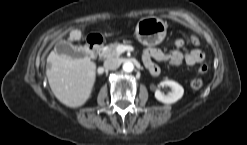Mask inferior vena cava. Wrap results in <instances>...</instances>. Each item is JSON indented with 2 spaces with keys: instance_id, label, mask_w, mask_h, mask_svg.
I'll use <instances>...</instances> for the list:
<instances>
[{
  "instance_id": "1",
  "label": "inferior vena cava",
  "mask_w": 247,
  "mask_h": 145,
  "mask_svg": "<svg viewBox=\"0 0 247 145\" xmlns=\"http://www.w3.org/2000/svg\"><path fill=\"white\" fill-rule=\"evenodd\" d=\"M119 66H120V61L115 58L107 59L104 62V67L108 70H115L119 68Z\"/></svg>"
}]
</instances>
